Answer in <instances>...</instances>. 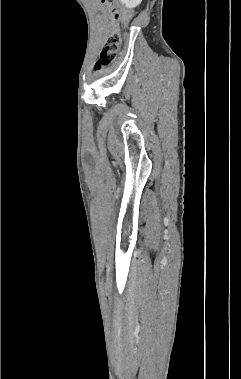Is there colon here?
Wrapping results in <instances>:
<instances>
[{
  "label": "colon",
  "instance_id": "5ec220e1",
  "mask_svg": "<svg viewBox=\"0 0 241 379\" xmlns=\"http://www.w3.org/2000/svg\"><path fill=\"white\" fill-rule=\"evenodd\" d=\"M101 2L108 8L112 20L123 21L124 25L132 24V8H116L115 0H101ZM120 44V35L117 31L112 32L106 38L104 46L100 52L99 59L96 63V69L100 70L110 63H112L117 55V50Z\"/></svg>",
  "mask_w": 241,
  "mask_h": 379
}]
</instances>
